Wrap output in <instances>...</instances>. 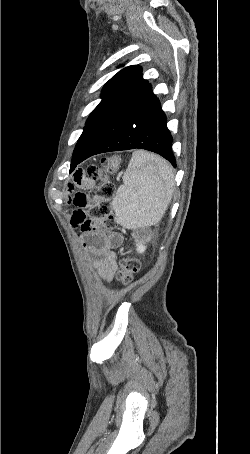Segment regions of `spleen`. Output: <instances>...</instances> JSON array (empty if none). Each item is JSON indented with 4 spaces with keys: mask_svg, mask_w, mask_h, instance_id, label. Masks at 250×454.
<instances>
[{
    "mask_svg": "<svg viewBox=\"0 0 250 454\" xmlns=\"http://www.w3.org/2000/svg\"><path fill=\"white\" fill-rule=\"evenodd\" d=\"M174 184L166 160L143 150L134 151L123 184L112 200L116 222L130 230L157 224L171 201Z\"/></svg>",
    "mask_w": 250,
    "mask_h": 454,
    "instance_id": "spleen-1",
    "label": "spleen"
}]
</instances>
